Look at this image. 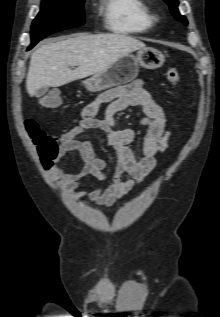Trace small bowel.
Returning a JSON list of instances; mask_svg holds the SVG:
<instances>
[{
	"label": "small bowel",
	"mask_w": 220,
	"mask_h": 317,
	"mask_svg": "<svg viewBox=\"0 0 220 317\" xmlns=\"http://www.w3.org/2000/svg\"><path fill=\"white\" fill-rule=\"evenodd\" d=\"M107 104L103 118L98 112ZM130 106L142 107V144L140 158L135 156L129 144L135 139L134 129H116V115ZM99 130L106 143L115 152V168L110 175L105 174L110 162L96 156L90 140L78 139L87 131ZM171 132L166 127L162 106L154 100L142 80H134L124 86L100 93L82 111L81 118L59 136V154L47 172L55 181H61L65 190L75 200L88 199L99 206H110L142 183L157 165V156L168 146ZM77 151L84 160V166L75 173H66L59 165V159L68 152ZM92 178L98 186L91 191H79L86 178ZM107 187L104 188V184Z\"/></svg>",
	"instance_id": "1"
}]
</instances>
